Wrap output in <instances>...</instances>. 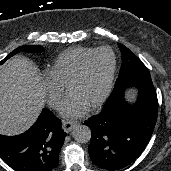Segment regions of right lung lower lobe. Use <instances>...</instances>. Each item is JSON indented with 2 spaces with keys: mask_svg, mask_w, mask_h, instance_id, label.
<instances>
[{
  "mask_svg": "<svg viewBox=\"0 0 171 171\" xmlns=\"http://www.w3.org/2000/svg\"><path fill=\"white\" fill-rule=\"evenodd\" d=\"M62 122L44 108L38 120L25 133L0 135V156L16 171H53L66 133Z\"/></svg>",
  "mask_w": 171,
  "mask_h": 171,
  "instance_id": "obj_1",
  "label": "right lung lower lobe"
}]
</instances>
